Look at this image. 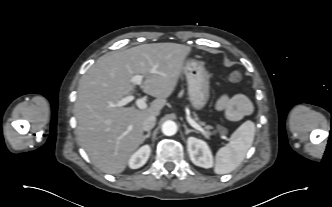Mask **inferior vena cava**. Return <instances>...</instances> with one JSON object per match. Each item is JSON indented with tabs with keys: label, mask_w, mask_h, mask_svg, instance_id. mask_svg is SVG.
<instances>
[{
	"label": "inferior vena cava",
	"mask_w": 332,
	"mask_h": 207,
	"mask_svg": "<svg viewBox=\"0 0 332 207\" xmlns=\"http://www.w3.org/2000/svg\"><path fill=\"white\" fill-rule=\"evenodd\" d=\"M156 122L155 116H149L147 117L142 124V128L144 131H150L154 126Z\"/></svg>",
	"instance_id": "inferior-vena-cava-1"
}]
</instances>
